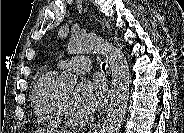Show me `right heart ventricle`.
<instances>
[{
	"label": "right heart ventricle",
	"mask_w": 184,
	"mask_h": 133,
	"mask_svg": "<svg viewBox=\"0 0 184 133\" xmlns=\"http://www.w3.org/2000/svg\"><path fill=\"white\" fill-rule=\"evenodd\" d=\"M57 71L42 72L34 85L32 105L37 116L50 125L60 124L65 116L62 94L56 85Z\"/></svg>",
	"instance_id": "obj_1"
}]
</instances>
